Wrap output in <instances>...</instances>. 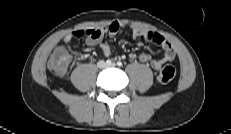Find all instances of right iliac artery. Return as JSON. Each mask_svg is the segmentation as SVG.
Masks as SVG:
<instances>
[{
    "instance_id": "right-iliac-artery-1",
    "label": "right iliac artery",
    "mask_w": 231,
    "mask_h": 134,
    "mask_svg": "<svg viewBox=\"0 0 231 134\" xmlns=\"http://www.w3.org/2000/svg\"><path fill=\"white\" fill-rule=\"evenodd\" d=\"M106 63H107L108 65H110V64L112 63V61H111L110 59H108V60L106 61Z\"/></svg>"
}]
</instances>
